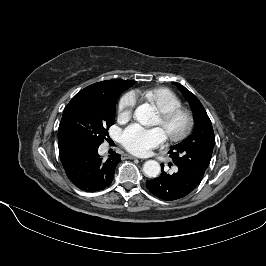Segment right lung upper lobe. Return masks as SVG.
Instances as JSON below:
<instances>
[{"mask_svg": "<svg viewBox=\"0 0 266 266\" xmlns=\"http://www.w3.org/2000/svg\"><path fill=\"white\" fill-rule=\"evenodd\" d=\"M133 85L135 81L132 80H122V79H114L108 81H102L95 84H92L84 89L99 92V93H108L109 91L113 90L116 86L121 84Z\"/></svg>", "mask_w": 266, "mask_h": 266, "instance_id": "cb5924a9", "label": "right lung upper lobe"}]
</instances>
